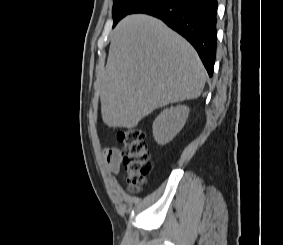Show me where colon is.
Segmentation results:
<instances>
[{
    "label": "colon",
    "mask_w": 283,
    "mask_h": 245,
    "mask_svg": "<svg viewBox=\"0 0 283 245\" xmlns=\"http://www.w3.org/2000/svg\"><path fill=\"white\" fill-rule=\"evenodd\" d=\"M118 139L123 144L122 165L126 173L128 189L137 192L151 170L145 135L140 129L126 128L118 133Z\"/></svg>",
    "instance_id": "colon-1"
}]
</instances>
